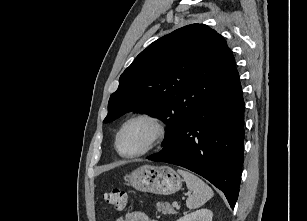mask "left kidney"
Wrapping results in <instances>:
<instances>
[{
  "label": "left kidney",
  "mask_w": 307,
  "mask_h": 221,
  "mask_svg": "<svg viewBox=\"0 0 307 221\" xmlns=\"http://www.w3.org/2000/svg\"><path fill=\"white\" fill-rule=\"evenodd\" d=\"M213 213L208 209H200L190 214H186L177 221H212Z\"/></svg>",
  "instance_id": "left-kidney-1"
}]
</instances>
